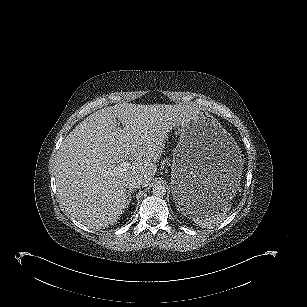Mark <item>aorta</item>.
Listing matches in <instances>:
<instances>
[{
	"label": "aorta",
	"mask_w": 307,
	"mask_h": 307,
	"mask_svg": "<svg viewBox=\"0 0 307 307\" xmlns=\"http://www.w3.org/2000/svg\"><path fill=\"white\" fill-rule=\"evenodd\" d=\"M153 195L161 197L166 194V187L161 183H156L152 188Z\"/></svg>",
	"instance_id": "1"
}]
</instances>
